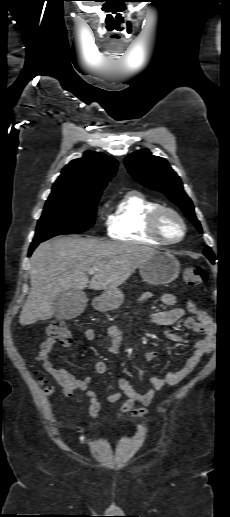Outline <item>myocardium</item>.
<instances>
[{
	"instance_id": "myocardium-1",
	"label": "myocardium",
	"mask_w": 230,
	"mask_h": 517,
	"mask_svg": "<svg viewBox=\"0 0 230 517\" xmlns=\"http://www.w3.org/2000/svg\"><path fill=\"white\" fill-rule=\"evenodd\" d=\"M171 215L173 216L180 224L181 226V232L179 236L176 238L170 239L166 237L162 231L161 224L164 216ZM148 230L149 233L159 240L162 244L165 245H172L180 242L183 240V238L186 235L187 226L183 219V217L180 215L179 212H177L175 209L167 206H160L154 211L151 212L149 218H148Z\"/></svg>"
}]
</instances>
